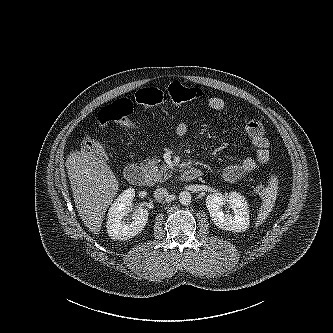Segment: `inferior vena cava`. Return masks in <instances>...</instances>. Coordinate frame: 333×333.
Instances as JSON below:
<instances>
[{
	"label": "inferior vena cava",
	"instance_id": "obj_1",
	"mask_svg": "<svg viewBox=\"0 0 333 333\" xmlns=\"http://www.w3.org/2000/svg\"><path fill=\"white\" fill-rule=\"evenodd\" d=\"M167 196H168V190L165 188H157L154 191V197L157 201H161Z\"/></svg>",
	"mask_w": 333,
	"mask_h": 333
}]
</instances>
